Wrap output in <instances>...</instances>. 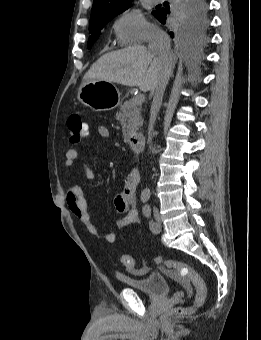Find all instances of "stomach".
Returning <instances> with one entry per match:
<instances>
[{
	"label": "stomach",
	"mask_w": 261,
	"mask_h": 340,
	"mask_svg": "<svg viewBox=\"0 0 261 340\" xmlns=\"http://www.w3.org/2000/svg\"><path fill=\"white\" fill-rule=\"evenodd\" d=\"M77 99L95 112L110 111L119 105L121 93L112 82L93 79L81 85Z\"/></svg>",
	"instance_id": "1"
}]
</instances>
